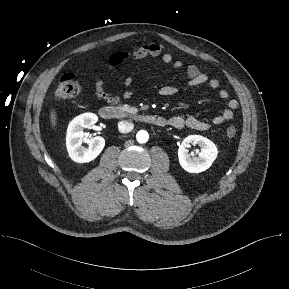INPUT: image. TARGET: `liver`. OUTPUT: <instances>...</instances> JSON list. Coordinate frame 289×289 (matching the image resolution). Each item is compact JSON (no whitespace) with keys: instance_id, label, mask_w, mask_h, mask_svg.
<instances>
[{"instance_id":"liver-1","label":"liver","mask_w":289,"mask_h":289,"mask_svg":"<svg viewBox=\"0 0 289 289\" xmlns=\"http://www.w3.org/2000/svg\"><path fill=\"white\" fill-rule=\"evenodd\" d=\"M57 113L54 108L50 110V126L52 129H56L57 126Z\"/></svg>"}]
</instances>
